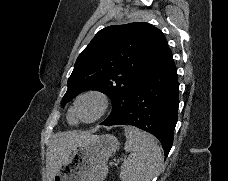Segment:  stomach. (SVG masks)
Instances as JSON below:
<instances>
[{"label": "stomach", "mask_w": 228, "mask_h": 181, "mask_svg": "<svg viewBox=\"0 0 228 181\" xmlns=\"http://www.w3.org/2000/svg\"><path fill=\"white\" fill-rule=\"evenodd\" d=\"M119 149L113 135H94L86 145H75L53 181H105L108 161Z\"/></svg>", "instance_id": "0dacf381"}]
</instances>
